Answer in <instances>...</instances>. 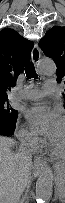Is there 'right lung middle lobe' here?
<instances>
[{
    "instance_id": "obj_1",
    "label": "right lung middle lobe",
    "mask_w": 65,
    "mask_h": 203,
    "mask_svg": "<svg viewBox=\"0 0 65 203\" xmlns=\"http://www.w3.org/2000/svg\"><path fill=\"white\" fill-rule=\"evenodd\" d=\"M17 120V111L9 106L7 98L0 99V123L15 124Z\"/></svg>"
}]
</instances>
